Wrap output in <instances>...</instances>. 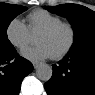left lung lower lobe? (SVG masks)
Segmentation results:
<instances>
[{"label":"left lung lower lobe","mask_w":95,"mask_h":95,"mask_svg":"<svg viewBox=\"0 0 95 95\" xmlns=\"http://www.w3.org/2000/svg\"><path fill=\"white\" fill-rule=\"evenodd\" d=\"M58 64L44 85L48 95H95V45L70 51Z\"/></svg>","instance_id":"0a47b994"}]
</instances>
